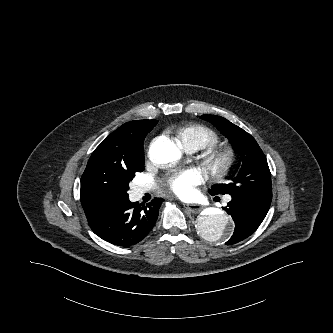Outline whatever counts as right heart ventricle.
Masks as SVG:
<instances>
[{
	"label": "right heart ventricle",
	"instance_id": "e07e8e85",
	"mask_svg": "<svg viewBox=\"0 0 333 333\" xmlns=\"http://www.w3.org/2000/svg\"><path fill=\"white\" fill-rule=\"evenodd\" d=\"M176 138L181 146L208 148L215 146L220 138L214 130L202 125H184L176 131Z\"/></svg>",
	"mask_w": 333,
	"mask_h": 333
}]
</instances>
